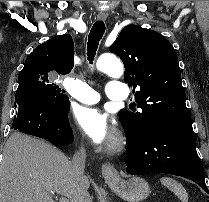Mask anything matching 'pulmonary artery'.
<instances>
[{"mask_svg":"<svg viewBox=\"0 0 209 202\" xmlns=\"http://www.w3.org/2000/svg\"><path fill=\"white\" fill-rule=\"evenodd\" d=\"M61 82L76 100L86 104H93L99 101L98 93L81 80L76 78L73 81L62 80ZM107 84V95L109 99L125 101L128 98V92L126 88L120 84L118 79H110L107 81Z\"/></svg>","mask_w":209,"mask_h":202,"instance_id":"pulmonary-artery-1","label":"pulmonary artery"}]
</instances>
